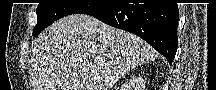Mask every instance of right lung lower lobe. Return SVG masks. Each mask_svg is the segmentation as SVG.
<instances>
[{
  "mask_svg": "<svg viewBox=\"0 0 216 90\" xmlns=\"http://www.w3.org/2000/svg\"><path fill=\"white\" fill-rule=\"evenodd\" d=\"M87 15L141 37L172 64L178 45L176 3L108 4Z\"/></svg>",
  "mask_w": 216,
  "mask_h": 90,
  "instance_id": "1",
  "label": "right lung lower lobe"
}]
</instances>
